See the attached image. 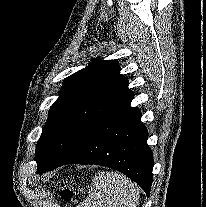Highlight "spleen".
<instances>
[{
    "mask_svg": "<svg viewBox=\"0 0 206 207\" xmlns=\"http://www.w3.org/2000/svg\"><path fill=\"white\" fill-rule=\"evenodd\" d=\"M140 190L124 175L102 171L95 174L88 196L78 207H136Z\"/></svg>",
    "mask_w": 206,
    "mask_h": 207,
    "instance_id": "obj_1",
    "label": "spleen"
}]
</instances>
